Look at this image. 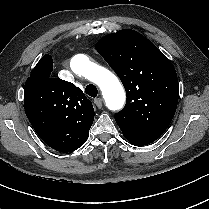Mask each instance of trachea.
Returning a JSON list of instances; mask_svg holds the SVG:
<instances>
[{
	"label": "trachea",
	"mask_w": 209,
	"mask_h": 209,
	"mask_svg": "<svg viewBox=\"0 0 209 209\" xmlns=\"http://www.w3.org/2000/svg\"><path fill=\"white\" fill-rule=\"evenodd\" d=\"M85 92H86V94H88L91 97H96L97 93H98L96 86L93 84L88 85L85 88Z\"/></svg>",
	"instance_id": "1"
}]
</instances>
